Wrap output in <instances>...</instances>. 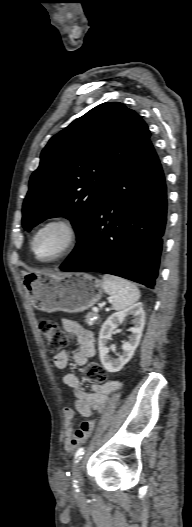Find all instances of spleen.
Here are the masks:
<instances>
[{"label": "spleen", "instance_id": "3e777b00", "mask_svg": "<svg viewBox=\"0 0 192 527\" xmlns=\"http://www.w3.org/2000/svg\"><path fill=\"white\" fill-rule=\"evenodd\" d=\"M102 286L112 297V306L116 311L129 307L140 298V291L132 282L117 276L104 275Z\"/></svg>", "mask_w": 192, "mask_h": 527}]
</instances>
